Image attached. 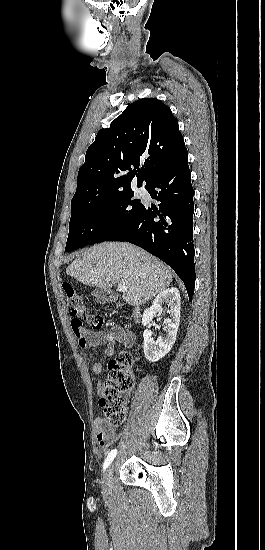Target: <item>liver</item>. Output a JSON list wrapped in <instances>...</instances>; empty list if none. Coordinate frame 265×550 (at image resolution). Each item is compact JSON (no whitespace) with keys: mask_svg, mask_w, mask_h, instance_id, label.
Masks as SVG:
<instances>
[{"mask_svg":"<svg viewBox=\"0 0 265 550\" xmlns=\"http://www.w3.org/2000/svg\"><path fill=\"white\" fill-rule=\"evenodd\" d=\"M66 273L84 285L108 289L124 284L123 299L142 305L165 290L172 270L162 261L127 242H103L81 251Z\"/></svg>","mask_w":265,"mask_h":550,"instance_id":"obj_1","label":"liver"}]
</instances>
